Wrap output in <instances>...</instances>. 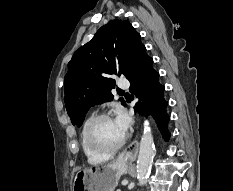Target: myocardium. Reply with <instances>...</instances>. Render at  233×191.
<instances>
[{
  "label": "myocardium",
  "mask_w": 233,
  "mask_h": 191,
  "mask_svg": "<svg viewBox=\"0 0 233 191\" xmlns=\"http://www.w3.org/2000/svg\"><path fill=\"white\" fill-rule=\"evenodd\" d=\"M105 119H112V117L107 113H101V114L96 115L89 121L86 127V130H85V144L91 153L98 155V156L109 157V156L114 155L124 146L126 142V137L124 136L117 145H115L114 147L110 149H104V148L97 146L93 141V131L96 125L100 121L105 120Z\"/></svg>",
  "instance_id": "f54148a6"
}]
</instances>
